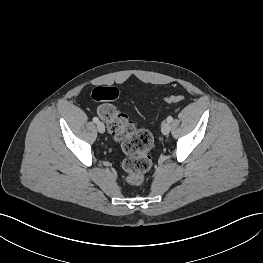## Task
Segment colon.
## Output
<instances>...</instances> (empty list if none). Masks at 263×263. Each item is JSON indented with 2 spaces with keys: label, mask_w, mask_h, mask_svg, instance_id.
<instances>
[{
  "label": "colon",
  "mask_w": 263,
  "mask_h": 263,
  "mask_svg": "<svg viewBox=\"0 0 263 263\" xmlns=\"http://www.w3.org/2000/svg\"><path fill=\"white\" fill-rule=\"evenodd\" d=\"M92 99L99 105L97 114L105 122L109 133L121 144L126 158L122 162L123 178L132 186L142 185L151 168L150 150L153 137L148 130L138 128L127 114L120 112L111 104L118 97L114 87L99 86L92 91ZM168 103L184 101L182 95L174 94L166 98Z\"/></svg>",
  "instance_id": "1"
}]
</instances>
